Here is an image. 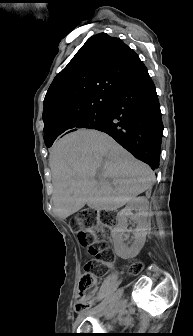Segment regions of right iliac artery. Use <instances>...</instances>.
<instances>
[{
    "mask_svg": "<svg viewBox=\"0 0 193 336\" xmlns=\"http://www.w3.org/2000/svg\"><path fill=\"white\" fill-rule=\"evenodd\" d=\"M97 307H100V306H97ZM90 310H89V308H87L86 310H84L83 312H82V314L83 313H86V312H89Z\"/></svg>",
    "mask_w": 193,
    "mask_h": 336,
    "instance_id": "right-iliac-artery-1",
    "label": "right iliac artery"
}]
</instances>
